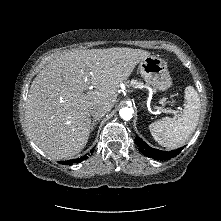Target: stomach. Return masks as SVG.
<instances>
[{
  "instance_id": "0dacf381",
  "label": "stomach",
  "mask_w": 221,
  "mask_h": 221,
  "mask_svg": "<svg viewBox=\"0 0 221 221\" xmlns=\"http://www.w3.org/2000/svg\"><path fill=\"white\" fill-rule=\"evenodd\" d=\"M138 69L144 80L155 90L165 91L172 84L167 64L157 56L151 55L143 59Z\"/></svg>"
}]
</instances>
